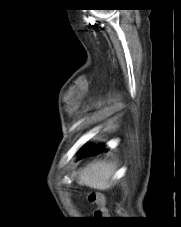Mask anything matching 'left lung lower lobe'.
I'll list each match as a JSON object with an SVG mask.
<instances>
[{
    "label": "left lung lower lobe",
    "mask_w": 181,
    "mask_h": 227,
    "mask_svg": "<svg viewBox=\"0 0 181 227\" xmlns=\"http://www.w3.org/2000/svg\"><path fill=\"white\" fill-rule=\"evenodd\" d=\"M101 147H102L101 145H98L96 147H94V146L89 147L83 152L82 156L84 157V156H87V155L96 154V153H98L99 151L102 150Z\"/></svg>",
    "instance_id": "0a47b994"
}]
</instances>
